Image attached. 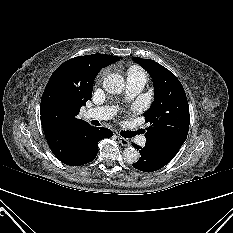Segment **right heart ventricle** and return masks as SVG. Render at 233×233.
I'll use <instances>...</instances> for the list:
<instances>
[{
    "mask_svg": "<svg viewBox=\"0 0 233 233\" xmlns=\"http://www.w3.org/2000/svg\"><path fill=\"white\" fill-rule=\"evenodd\" d=\"M144 76L146 77V74L145 72L140 69L139 67H131L129 70H128V76Z\"/></svg>",
    "mask_w": 233,
    "mask_h": 233,
    "instance_id": "1",
    "label": "right heart ventricle"
}]
</instances>
